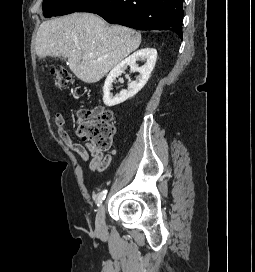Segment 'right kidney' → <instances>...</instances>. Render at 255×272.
<instances>
[{
  "instance_id": "obj_1",
  "label": "right kidney",
  "mask_w": 255,
  "mask_h": 272,
  "mask_svg": "<svg viewBox=\"0 0 255 272\" xmlns=\"http://www.w3.org/2000/svg\"><path fill=\"white\" fill-rule=\"evenodd\" d=\"M140 59L146 60V63L143 66L138 67L136 61ZM156 59V49L143 48L134 52L132 55H130L125 60L121 61L116 67H114L108 74L103 87L104 104L106 106L112 107L123 103L127 99L137 94L147 83L151 72L156 64ZM127 66H130L131 70L133 71H138L140 73V76L138 77L137 81H132L129 83L128 90H122L118 95L113 96L110 93L112 83L118 76H120L124 72Z\"/></svg>"
}]
</instances>
